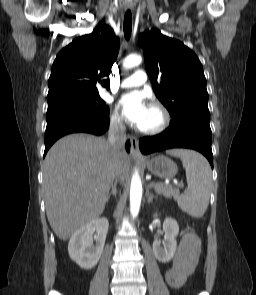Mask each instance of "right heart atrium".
<instances>
[{
  "label": "right heart atrium",
  "mask_w": 256,
  "mask_h": 295,
  "mask_svg": "<svg viewBox=\"0 0 256 295\" xmlns=\"http://www.w3.org/2000/svg\"><path fill=\"white\" fill-rule=\"evenodd\" d=\"M110 121L111 125L116 129H123L125 126L124 119L117 110L112 111L110 115Z\"/></svg>",
  "instance_id": "obj_1"
}]
</instances>
